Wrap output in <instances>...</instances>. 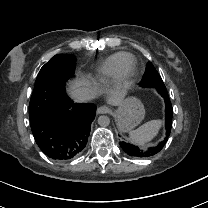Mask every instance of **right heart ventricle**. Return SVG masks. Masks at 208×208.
Returning <instances> with one entry per match:
<instances>
[{"label":"right heart ventricle","instance_id":"obj_1","mask_svg":"<svg viewBox=\"0 0 208 208\" xmlns=\"http://www.w3.org/2000/svg\"><path fill=\"white\" fill-rule=\"evenodd\" d=\"M134 54L126 51L114 53L97 64L90 72L92 82L98 87H109L121 77L123 69L135 61Z\"/></svg>","mask_w":208,"mask_h":208}]
</instances>
